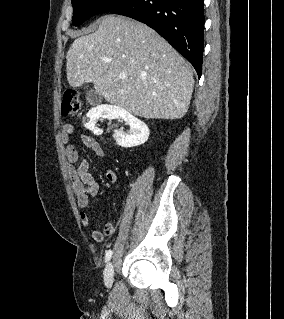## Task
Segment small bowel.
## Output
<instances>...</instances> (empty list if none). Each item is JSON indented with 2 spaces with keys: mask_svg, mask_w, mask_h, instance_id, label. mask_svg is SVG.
Segmentation results:
<instances>
[{
  "mask_svg": "<svg viewBox=\"0 0 284 319\" xmlns=\"http://www.w3.org/2000/svg\"><path fill=\"white\" fill-rule=\"evenodd\" d=\"M73 132L74 127L71 124H65L62 128L61 138L63 143L67 145L65 150L67 171L72 189L76 194L78 207L82 210L80 213V220L83 226L88 227L91 224V218L86 210L90 205V197H94L99 193L100 185L89 172L87 162L80 157L76 147L69 143V136ZM81 141L83 145L90 149L96 156H104L102 146L92 136L84 134L81 136ZM105 177L110 183H115L117 180L116 173L111 169L105 170ZM114 231V224L112 222H106L102 230L93 229L91 235L95 241L101 242L105 237L111 236Z\"/></svg>",
  "mask_w": 284,
  "mask_h": 319,
  "instance_id": "small-bowel-1",
  "label": "small bowel"
}]
</instances>
